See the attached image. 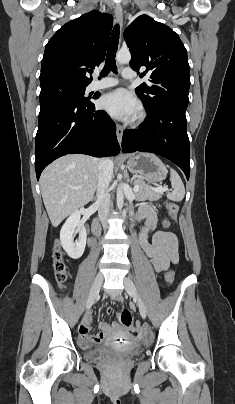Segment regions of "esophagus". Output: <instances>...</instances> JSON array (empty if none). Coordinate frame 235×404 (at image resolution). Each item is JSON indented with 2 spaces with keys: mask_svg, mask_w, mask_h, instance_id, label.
Returning a JSON list of instances; mask_svg holds the SVG:
<instances>
[{
  "mask_svg": "<svg viewBox=\"0 0 235 404\" xmlns=\"http://www.w3.org/2000/svg\"><path fill=\"white\" fill-rule=\"evenodd\" d=\"M115 17L117 19V21L120 23V25L122 26V21H123V9L121 7V5H116L115 9ZM116 135H117V139L119 144L121 145L122 143V136H123V127L120 124L116 125Z\"/></svg>",
  "mask_w": 235,
  "mask_h": 404,
  "instance_id": "esophagus-1",
  "label": "esophagus"
}]
</instances>
